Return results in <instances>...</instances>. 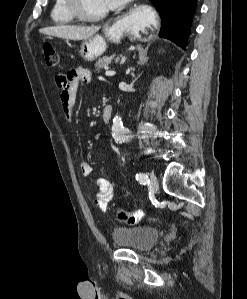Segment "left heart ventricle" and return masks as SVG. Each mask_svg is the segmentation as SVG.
I'll use <instances>...</instances> for the list:
<instances>
[{
    "mask_svg": "<svg viewBox=\"0 0 247 299\" xmlns=\"http://www.w3.org/2000/svg\"><path fill=\"white\" fill-rule=\"evenodd\" d=\"M84 9L89 14H96L108 9L104 0H82Z\"/></svg>",
    "mask_w": 247,
    "mask_h": 299,
    "instance_id": "obj_1",
    "label": "left heart ventricle"
}]
</instances>
